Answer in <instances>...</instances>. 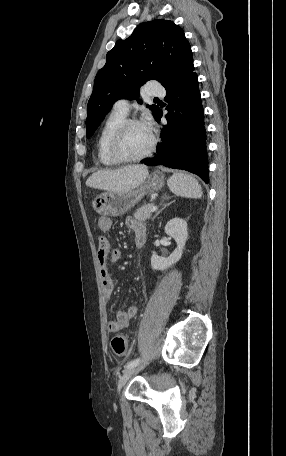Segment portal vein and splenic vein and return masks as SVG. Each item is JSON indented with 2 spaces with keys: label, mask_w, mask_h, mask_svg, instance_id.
Segmentation results:
<instances>
[{
  "label": "portal vein and splenic vein",
  "mask_w": 286,
  "mask_h": 456,
  "mask_svg": "<svg viewBox=\"0 0 286 456\" xmlns=\"http://www.w3.org/2000/svg\"><path fill=\"white\" fill-rule=\"evenodd\" d=\"M157 209H158L157 206H153V207L151 208V212H154V211H156Z\"/></svg>",
  "instance_id": "portal-vein-and-splenic-vein-1"
}]
</instances>
